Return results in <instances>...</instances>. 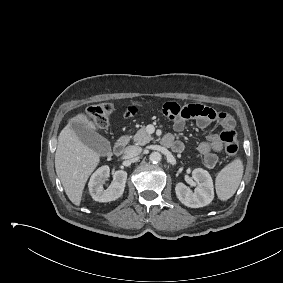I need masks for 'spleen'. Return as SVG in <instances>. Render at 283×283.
Instances as JSON below:
<instances>
[{"mask_svg": "<svg viewBox=\"0 0 283 283\" xmlns=\"http://www.w3.org/2000/svg\"><path fill=\"white\" fill-rule=\"evenodd\" d=\"M243 175V163L237 158L225 166L216 177V193L221 201H227L236 192Z\"/></svg>", "mask_w": 283, "mask_h": 283, "instance_id": "1", "label": "spleen"}]
</instances>
